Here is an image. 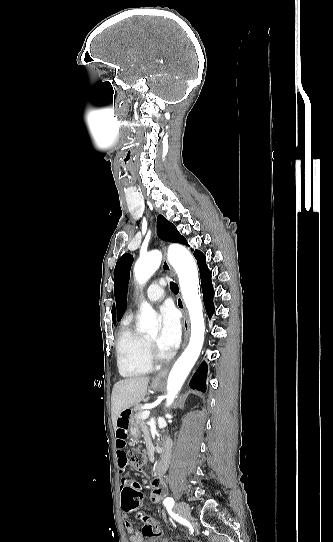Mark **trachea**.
I'll list each match as a JSON object with an SVG mask.
<instances>
[{"label": "trachea", "mask_w": 333, "mask_h": 542, "mask_svg": "<svg viewBox=\"0 0 333 542\" xmlns=\"http://www.w3.org/2000/svg\"><path fill=\"white\" fill-rule=\"evenodd\" d=\"M170 288L172 291H178V285L175 282H170Z\"/></svg>", "instance_id": "1"}]
</instances>
